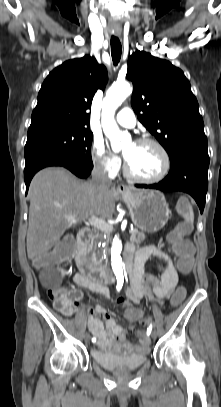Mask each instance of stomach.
Returning a JSON list of instances; mask_svg holds the SVG:
<instances>
[{
  "label": "stomach",
  "mask_w": 221,
  "mask_h": 407,
  "mask_svg": "<svg viewBox=\"0 0 221 407\" xmlns=\"http://www.w3.org/2000/svg\"><path fill=\"white\" fill-rule=\"evenodd\" d=\"M122 198L129 208L132 222L140 230L154 233L167 223L170 210L161 192L130 189L122 194Z\"/></svg>",
  "instance_id": "stomach-1"
}]
</instances>
